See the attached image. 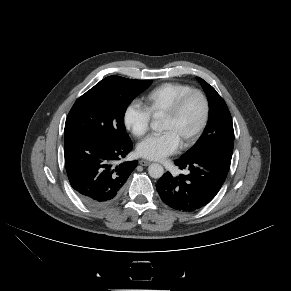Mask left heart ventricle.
I'll return each mask as SVG.
<instances>
[{
  "label": "left heart ventricle",
  "instance_id": "left-heart-ventricle-1",
  "mask_svg": "<svg viewBox=\"0 0 291 291\" xmlns=\"http://www.w3.org/2000/svg\"><path fill=\"white\" fill-rule=\"evenodd\" d=\"M203 106L197 96L191 98L175 118L163 117L162 130L173 131L180 142L190 137L200 123Z\"/></svg>",
  "mask_w": 291,
  "mask_h": 291
}]
</instances>
